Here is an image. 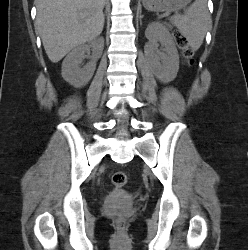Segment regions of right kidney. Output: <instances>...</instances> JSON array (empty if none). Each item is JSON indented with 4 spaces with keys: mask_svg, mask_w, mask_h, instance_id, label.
Here are the masks:
<instances>
[{
    "mask_svg": "<svg viewBox=\"0 0 248 250\" xmlns=\"http://www.w3.org/2000/svg\"><path fill=\"white\" fill-rule=\"evenodd\" d=\"M104 48V39L99 37L90 41L88 44H82L73 49L62 63L61 75L70 85L80 88L86 85L92 78L96 62L101 57ZM92 49L91 61L84 67L80 63L85 57V53Z\"/></svg>",
    "mask_w": 248,
    "mask_h": 250,
    "instance_id": "1",
    "label": "right kidney"
}]
</instances>
